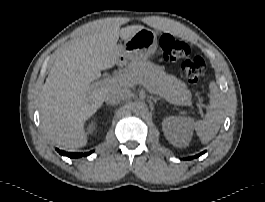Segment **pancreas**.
<instances>
[{
  "instance_id": "pancreas-1",
  "label": "pancreas",
  "mask_w": 265,
  "mask_h": 202,
  "mask_svg": "<svg viewBox=\"0 0 265 202\" xmlns=\"http://www.w3.org/2000/svg\"><path fill=\"white\" fill-rule=\"evenodd\" d=\"M131 84L146 82L153 91L173 100L178 105H192L191 92L185 83L164 72L151 62H131L125 71Z\"/></svg>"
}]
</instances>
